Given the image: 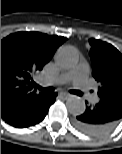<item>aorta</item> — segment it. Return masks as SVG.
Instances as JSON below:
<instances>
[{"instance_id":"1","label":"aorta","mask_w":122,"mask_h":154,"mask_svg":"<svg viewBox=\"0 0 122 154\" xmlns=\"http://www.w3.org/2000/svg\"><path fill=\"white\" fill-rule=\"evenodd\" d=\"M79 61V54L72 46H62L56 53V63L64 69L74 68ZM66 107L70 114L80 115L84 113L86 105L85 101L75 95L70 96L66 101Z\"/></svg>"}]
</instances>
